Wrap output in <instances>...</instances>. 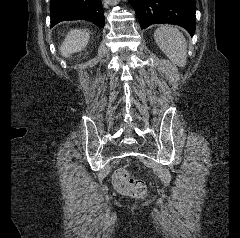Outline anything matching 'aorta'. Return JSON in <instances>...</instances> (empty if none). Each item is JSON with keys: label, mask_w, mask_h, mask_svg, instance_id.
<instances>
[{"label": "aorta", "mask_w": 240, "mask_h": 238, "mask_svg": "<svg viewBox=\"0 0 240 238\" xmlns=\"http://www.w3.org/2000/svg\"><path fill=\"white\" fill-rule=\"evenodd\" d=\"M110 1H112V2H116L117 0H110Z\"/></svg>", "instance_id": "aorta-1"}]
</instances>
